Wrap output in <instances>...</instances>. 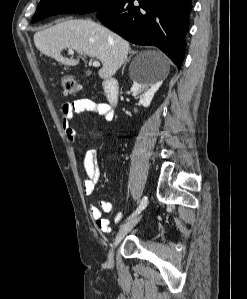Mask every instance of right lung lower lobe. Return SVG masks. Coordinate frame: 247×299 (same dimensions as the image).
I'll list each match as a JSON object with an SVG mask.
<instances>
[{"label": "right lung lower lobe", "instance_id": "right-lung-lower-lobe-1", "mask_svg": "<svg viewBox=\"0 0 247 299\" xmlns=\"http://www.w3.org/2000/svg\"><path fill=\"white\" fill-rule=\"evenodd\" d=\"M119 0L98 10L99 20L124 39L162 50L180 69L192 0Z\"/></svg>", "mask_w": 247, "mask_h": 299}]
</instances>
